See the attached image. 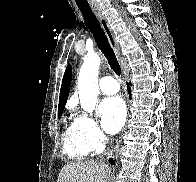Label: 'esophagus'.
I'll return each mask as SVG.
<instances>
[{
	"mask_svg": "<svg viewBox=\"0 0 196 182\" xmlns=\"http://www.w3.org/2000/svg\"><path fill=\"white\" fill-rule=\"evenodd\" d=\"M92 9H93V12L95 13L96 17L98 18L99 23H100L102 29L104 30L105 35L107 36V39H108L111 47L114 49L116 55L119 57L120 56L119 44L116 41L115 35H114L113 31L111 30L106 17L103 15L101 8L93 7ZM118 147H119V143H117V145L114 147V152L118 151Z\"/></svg>",
	"mask_w": 196,
	"mask_h": 182,
	"instance_id": "esophagus-1",
	"label": "esophagus"
}]
</instances>
